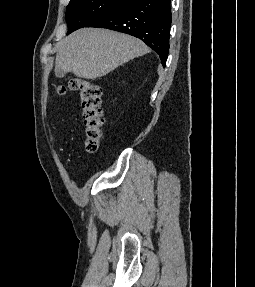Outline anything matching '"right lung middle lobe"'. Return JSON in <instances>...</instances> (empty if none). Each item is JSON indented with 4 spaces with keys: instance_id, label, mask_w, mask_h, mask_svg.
<instances>
[{
    "instance_id": "right-lung-middle-lobe-1",
    "label": "right lung middle lobe",
    "mask_w": 255,
    "mask_h": 287,
    "mask_svg": "<svg viewBox=\"0 0 255 287\" xmlns=\"http://www.w3.org/2000/svg\"><path fill=\"white\" fill-rule=\"evenodd\" d=\"M128 0H71L66 9L68 32L87 27L105 13Z\"/></svg>"
}]
</instances>
